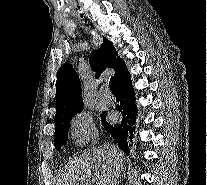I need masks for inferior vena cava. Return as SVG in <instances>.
<instances>
[{
    "label": "inferior vena cava",
    "instance_id": "1",
    "mask_svg": "<svg viewBox=\"0 0 207 185\" xmlns=\"http://www.w3.org/2000/svg\"><path fill=\"white\" fill-rule=\"evenodd\" d=\"M106 149H111V151H113L114 147H106Z\"/></svg>",
    "mask_w": 207,
    "mask_h": 185
}]
</instances>
